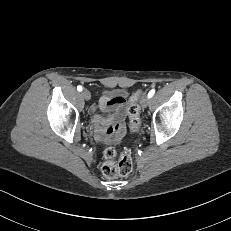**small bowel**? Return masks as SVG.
Masks as SVG:
<instances>
[{"label":"small bowel","instance_id":"1","mask_svg":"<svg viewBox=\"0 0 231 231\" xmlns=\"http://www.w3.org/2000/svg\"><path fill=\"white\" fill-rule=\"evenodd\" d=\"M100 108L104 111L112 109L116 113L103 118L95 115L92 118L93 130L97 140L101 142H118L124 135L123 116L127 110V101L122 93L102 97Z\"/></svg>","mask_w":231,"mask_h":231}]
</instances>
